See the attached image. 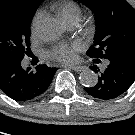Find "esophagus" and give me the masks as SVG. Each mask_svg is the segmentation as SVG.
I'll use <instances>...</instances> for the list:
<instances>
[{
	"instance_id": "1",
	"label": "esophagus",
	"mask_w": 135,
	"mask_h": 135,
	"mask_svg": "<svg viewBox=\"0 0 135 135\" xmlns=\"http://www.w3.org/2000/svg\"><path fill=\"white\" fill-rule=\"evenodd\" d=\"M70 68L76 72H80V71H83L85 67L84 66H71Z\"/></svg>"
}]
</instances>
